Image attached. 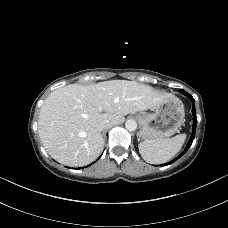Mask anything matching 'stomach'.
<instances>
[{
  "instance_id": "obj_1",
  "label": "stomach",
  "mask_w": 228,
  "mask_h": 228,
  "mask_svg": "<svg viewBox=\"0 0 228 228\" xmlns=\"http://www.w3.org/2000/svg\"><path fill=\"white\" fill-rule=\"evenodd\" d=\"M154 112L137 116L141 125L139 135L145 140H161L175 134L184 121V106L170 95L162 103L151 108Z\"/></svg>"
}]
</instances>
